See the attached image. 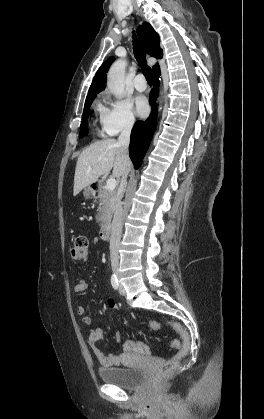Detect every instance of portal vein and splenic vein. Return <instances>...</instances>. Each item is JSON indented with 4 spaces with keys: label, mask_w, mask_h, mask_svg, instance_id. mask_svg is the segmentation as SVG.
I'll use <instances>...</instances> for the list:
<instances>
[{
    "label": "portal vein and splenic vein",
    "mask_w": 264,
    "mask_h": 419,
    "mask_svg": "<svg viewBox=\"0 0 264 419\" xmlns=\"http://www.w3.org/2000/svg\"><path fill=\"white\" fill-rule=\"evenodd\" d=\"M117 181L115 178H110L107 180V189L113 191L116 188Z\"/></svg>",
    "instance_id": "1"
}]
</instances>
